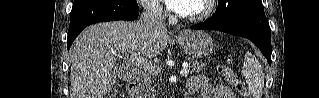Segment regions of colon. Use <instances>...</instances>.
I'll return each instance as SVG.
<instances>
[{
  "label": "colon",
  "mask_w": 319,
  "mask_h": 98,
  "mask_svg": "<svg viewBox=\"0 0 319 98\" xmlns=\"http://www.w3.org/2000/svg\"><path fill=\"white\" fill-rule=\"evenodd\" d=\"M218 72L223 78H225L232 84V86L239 94L243 96V98H250L246 83L237 79L236 75L230 68L221 65L218 66ZM113 94L114 92L111 91L110 95L113 96Z\"/></svg>",
  "instance_id": "5ec220e1"
}]
</instances>
